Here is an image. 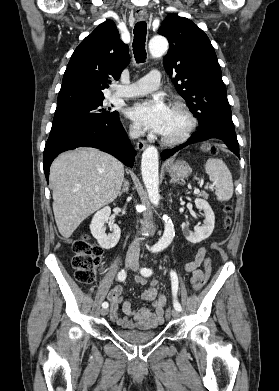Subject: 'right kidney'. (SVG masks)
Listing matches in <instances>:
<instances>
[{"label":"right kidney","instance_id":"right-kidney-1","mask_svg":"<svg viewBox=\"0 0 279 391\" xmlns=\"http://www.w3.org/2000/svg\"><path fill=\"white\" fill-rule=\"evenodd\" d=\"M111 209L106 206L97 211L91 221L90 230L92 236L104 249H111L116 246L120 239L121 230L117 224L110 220ZM110 228L111 233L106 234V226Z\"/></svg>","mask_w":279,"mask_h":391}]
</instances>
